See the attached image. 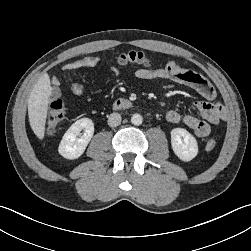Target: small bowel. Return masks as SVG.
<instances>
[{
  "mask_svg": "<svg viewBox=\"0 0 251 251\" xmlns=\"http://www.w3.org/2000/svg\"><path fill=\"white\" fill-rule=\"evenodd\" d=\"M99 59L97 57H84L66 63L62 69L64 71H74L81 68H93L97 66ZM135 77L140 80H158L167 79L173 82L183 84L195 90L204 98L194 104V108L199 112L200 117L194 114L181 115L176 110H169L166 113L168 122L177 124L182 123L184 126L192 130L198 137H206L210 134L211 128L217 125L224 118V110L222 105L215 100L216 91L212 84L200 74L185 69L176 61L168 62L161 68H140L135 72ZM60 79L58 76L52 77V97L60 96L59 90ZM71 90L73 94L81 96L85 93L86 87L83 84L75 83Z\"/></svg>",
  "mask_w": 251,
  "mask_h": 251,
  "instance_id": "obj_1",
  "label": "small bowel"
}]
</instances>
